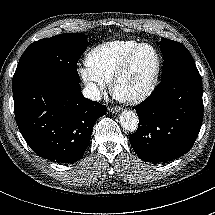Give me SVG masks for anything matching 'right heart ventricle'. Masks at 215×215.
I'll use <instances>...</instances> for the list:
<instances>
[{"instance_id":"right-heart-ventricle-1","label":"right heart ventricle","mask_w":215,"mask_h":215,"mask_svg":"<svg viewBox=\"0 0 215 215\" xmlns=\"http://www.w3.org/2000/svg\"><path fill=\"white\" fill-rule=\"evenodd\" d=\"M138 42L114 40L93 48L85 57V71L94 79L109 83L121 61Z\"/></svg>"}]
</instances>
